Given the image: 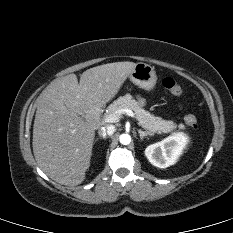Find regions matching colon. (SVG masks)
I'll return each mask as SVG.
<instances>
[{"label":"colon","instance_id":"1","mask_svg":"<svg viewBox=\"0 0 233 233\" xmlns=\"http://www.w3.org/2000/svg\"><path fill=\"white\" fill-rule=\"evenodd\" d=\"M162 84L164 88L173 95H180L182 93L181 85L172 77L164 78ZM184 121L186 125H188L191 128H195L198 123L196 116L193 114L186 115Z\"/></svg>","mask_w":233,"mask_h":233}]
</instances>
